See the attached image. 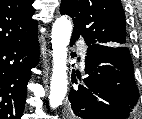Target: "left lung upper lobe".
<instances>
[{"mask_svg": "<svg viewBox=\"0 0 142 119\" xmlns=\"http://www.w3.org/2000/svg\"><path fill=\"white\" fill-rule=\"evenodd\" d=\"M60 13L73 19V35L87 45L126 46L125 16L120 0H62Z\"/></svg>", "mask_w": 142, "mask_h": 119, "instance_id": "left-lung-upper-lobe-1", "label": "left lung upper lobe"}]
</instances>
